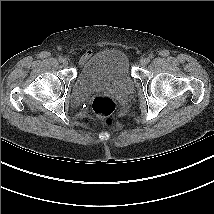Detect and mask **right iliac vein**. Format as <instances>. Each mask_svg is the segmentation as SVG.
Masks as SVG:
<instances>
[{
    "label": "right iliac vein",
    "instance_id": "obj_1",
    "mask_svg": "<svg viewBox=\"0 0 214 214\" xmlns=\"http://www.w3.org/2000/svg\"><path fill=\"white\" fill-rule=\"evenodd\" d=\"M68 63H69L68 59L65 58L64 61H63V64L64 65H68Z\"/></svg>",
    "mask_w": 214,
    "mask_h": 214
}]
</instances>
